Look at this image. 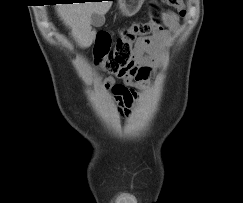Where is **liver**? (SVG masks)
I'll list each match as a JSON object with an SVG mask.
<instances>
[{
  "mask_svg": "<svg viewBox=\"0 0 243 203\" xmlns=\"http://www.w3.org/2000/svg\"><path fill=\"white\" fill-rule=\"evenodd\" d=\"M111 6V1L72 3L59 6L57 11L72 29L78 44L83 48H88L96 38V32L91 27L92 14L104 15Z\"/></svg>",
  "mask_w": 243,
  "mask_h": 203,
  "instance_id": "liver-1",
  "label": "liver"
}]
</instances>
